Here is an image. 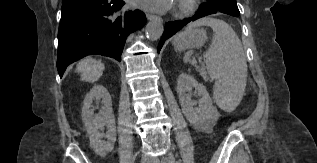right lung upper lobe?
Returning a JSON list of instances; mask_svg holds the SVG:
<instances>
[{"instance_id": "right-lung-upper-lobe-1", "label": "right lung upper lobe", "mask_w": 317, "mask_h": 163, "mask_svg": "<svg viewBox=\"0 0 317 163\" xmlns=\"http://www.w3.org/2000/svg\"><path fill=\"white\" fill-rule=\"evenodd\" d=\"M68 1H72V0H63V2H68Z\"/></svg>"}]
</instances>
